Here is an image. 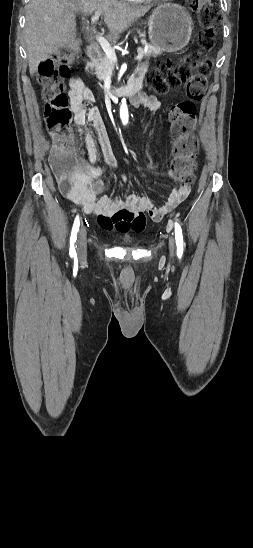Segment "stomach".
<instances>
[{"label":"stomach","instance_id":"stomach-1","mask_svg":"<svg viewBox=\"0 0 253 548\" xmlns=\"http://www.w3.org/2000/svg\"><path fill=\"white\" fill-rule=\"evenodd\" d=\"M192 30L193 22L189 13L178 4L158 6L148 20L151 43L164 51L173 52L184 48Z\"/></svg>","mask_w":253,"mask_h":548}]
</instances>
